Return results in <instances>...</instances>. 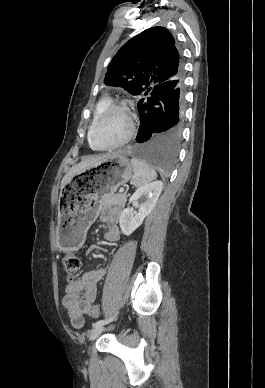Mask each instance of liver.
I'll return each mask as SVG.
<instances>
[{"mask_svg":"<svg viewBox=\"0 0 265 388\" xmlns=\"http://www.w3.org/2000/svg\"><path fill=\"white\" fill-rule=\"evenodd\" d=\"M107 156H115V154H105V156H100V158H90V160H83V162H80V164H76V166H72L70 168L69 172L65 174L62 182H61V188L73 178V176H77V174H81V172H85V170H88V168H92V166H95V164H98L102 158H107Z\"/></svg>","mask_w":265,"mask_h":388,"instance_id":"liver-1","label":"liver"}]
</instances>
